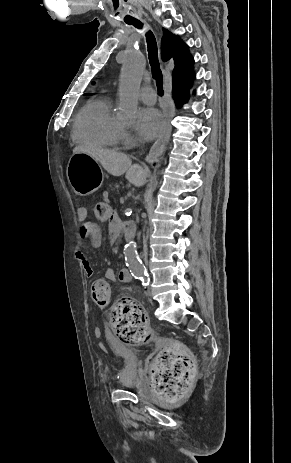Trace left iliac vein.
Here are the masks:
<instances>
[{
    "mask_svg": "<svg viewBox=\"0 0 291 463\" xmlns=\"http://www.w3.org/2000/svg\"><path fill=\"white\" fill-rule=\"evenodd\" d=\"M147 295H150V290L147 291Z\"/></svg>",
    "mask_w": 291,
    "mask_h": 463,
    "instance_id": "1",
    "label": "left iliac vein"
}]
</instances>
